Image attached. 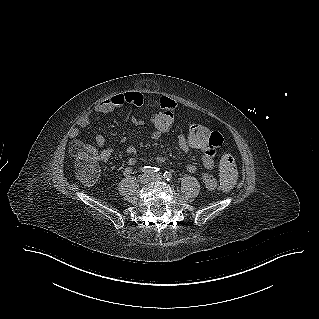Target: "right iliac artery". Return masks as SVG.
I'll use <instances>...</instances> for the list:
<instances>
[{"instance_id":"1","label":"right iliac artery","mask_w":319,"mask_h":319,"mask_svg":"<svg viewBox=\"0 0 319 319\" xmlns=\"http://www.w3.org/2000/svg\"><path fill=\"white\" fill-rule=\"evenodd\" d=\"M160 169L158 167H151V166H144L141 168V171L144 173H156L158 172Z\"/></svg>"}]
</instances>
